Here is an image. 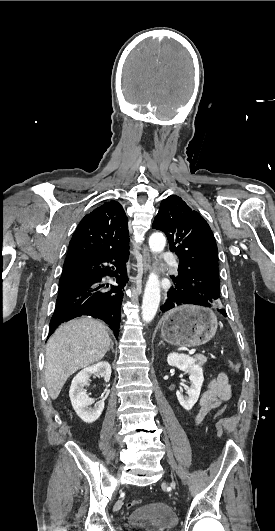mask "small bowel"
<instances>
[{
    "mask_svg": "<svg viewBox=\"0 0 275 531\" xmlns=\"http://www.w3.org/2000/svg\"><path fill=\"white\" fill-rule=\"evenodd\" d=\"M232 397V385L227 373L219 372L207 383L205 391L202 393L194 417V424H201L206 416L223 402Z\"/></svg>",
    "mask_w": 275,
    "mask_h": 531,
    "instance_id": "c3829d8e",
    "label": "small bowel"
}]
</instances>
